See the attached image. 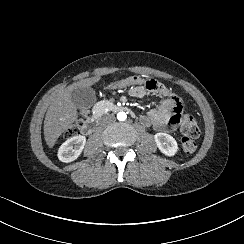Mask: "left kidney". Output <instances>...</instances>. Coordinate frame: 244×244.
I'll return each mask as SVG.
<instances>
[{
    "mask_svg": "<svg viewBox=\"0 0 244 244\" xmlns=\"http://www.w3.org/2000/svg\"><path fill=\"white\" fill-rule=\"evenodd\" d=\"M154 138L159 150L165 155L174 156L178 151L177 142L171 135L156 133Z\"/></svg>",
    "mask_w": 244,
    "mask_h": 244,
    "instance_id": "1",
    "label": "left kidney"
}]
</instances>
